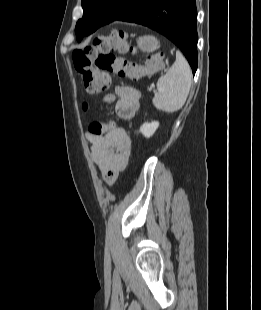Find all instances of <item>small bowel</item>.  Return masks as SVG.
<instances>
[{"instance_id":"obj_1","label":"small bowel","mask_w":261,"mask_h":310,"mask_svg":"<svg viewBox=\"0 0 261 310\" xmlns=\"http://www.w3.org/2000/svg\"><path fill=\"white\" fill-rule=\"evenodd\" d=\"M140 92L130 86L120 85L114 93L103 96L105 103H115L117 115L124 120L133 119L140 108ZM86 109V106L84 107ZM107 129L102 134L86 133L91 145V157L99 167L107 183H113L118 174L127 166L131 153V138L125 129L113 121L105 123Z\"/></svg>"}]
</instances>
